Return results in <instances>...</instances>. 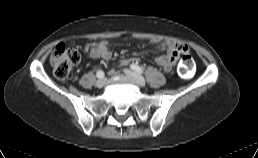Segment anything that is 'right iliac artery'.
I'll use <instances>...</instances> for the list:
<instances>
[{
	"mask_svg": "<svg viewBox=\"0 0 258 158\" xmlns=\"http://www.w3.org/2000/svg\"><path fill=\"white\" fill-rule=\"evenodd\" d=\"M96 76L98 78H103L104 77V72L102 70H99V71H97Z\"/></svg>",
	"mask_w": 258,
	"mask_h": 158,
	"instance_id": "obj_1",
	"label": "right iliac artery"
}]
</instances>
